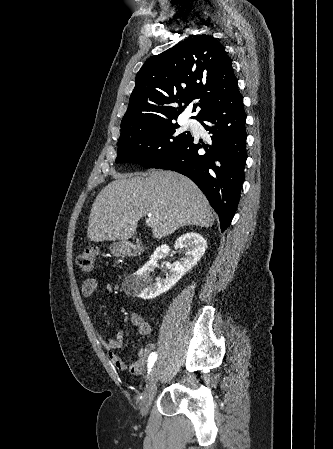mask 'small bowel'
Segmentation results:
<instances>
[{"label":"small bowel","mask_w":333,"mask_h":449,"mask_svg":"<svg viewBox=\"0 0 333 449\" xmlns=\"http://www.w3.org/2000/svg\"><path fill=\"white\" fill-rule=\"evenodd\" d=\"M98 287V282L94 278H88L83 281L81 285V292L85 297H92ZM132 325L137 329L138 333L144 336L150 335L152 328L150 324L145 320V318L139 313H132L130 316ZM124 333L122 331H117L114 338L104 339L99 336L100 343L107 351L108 359L110 363L118 370L125 371L128 370L131 375L139 376L142 374L145 364L149 359L151 353L156 349L155 342H149L144 347L140 348L137 352V359L132 362L129 366L121 358V356L116 352L117 349L121 348L124 344Z\"/></svg>","instance_id":"obj_1"}]
</instances>
